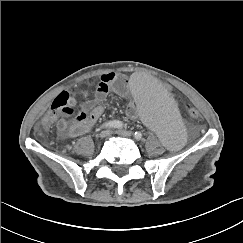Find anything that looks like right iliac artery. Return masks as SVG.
<instances>
[{
    "label": "right iliac artery",
    "mask_w": 243,
    "mask_h": 243,
    "mask_svg": "<svg viewBox=\"0 0 243 243\" xmlns=\"http://www.w3.org/2000/svg\"><path fill=\"white\" fill-rule=\"evenodd\" d=\"M123 127V123L119 120H113V121H109V122H106L104 123L100 129H103V128H117V129H120Z\"/></svg>",
    "instance_id": "right-iliac-artery-1"
}]
</instances>
